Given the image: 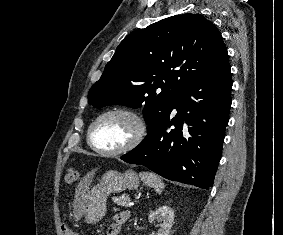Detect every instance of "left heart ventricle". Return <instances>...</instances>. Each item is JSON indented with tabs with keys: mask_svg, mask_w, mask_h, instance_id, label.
I'll use <instances>...</instances> for the list:
<instances>
[{
	"mask_svg": "<svg viewBox=\"0 0 283 235\" xmlns=\"http://www.w3.org/2000/svg\"><path fill=\"white\" fill-rule=\"evenodd\" d=\"M135 125L123 115H111L102 119L93 134L94 144L104 150H114L125 145L133 136Z\"/></svg>",
	"mask_w": 283,
	"mask_h": 235,
	"instance_id": "1",
	"label": "left heart ventricle"
}]
</instances>
